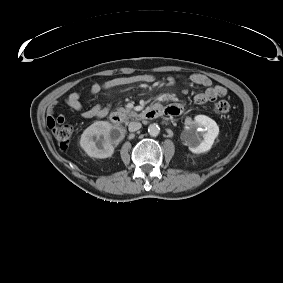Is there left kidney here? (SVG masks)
<instances>
[{
  "label": "left kidney",
  "instance_id": "left-kidney-1",
  "mask_svg": "<svg viewBox=\"0 0 283 283\" xmlns=\"http://www.w3.org/2000/svg\"><path fill=\"white\" fill-rule=\"evenodd\" d=\"M186 132L188 135L186 144L190 151L200 154L212 148L214 140L219 134V127L208 116L197 115L194 118V123L187 126Z\"/></svg>",
  "mask_w": 283,
  "mask_h": 283
}]
</instances>
